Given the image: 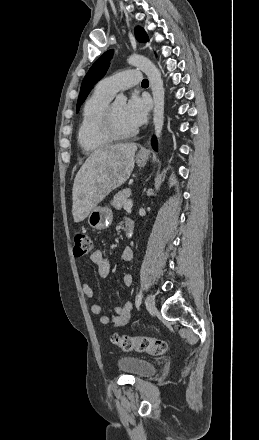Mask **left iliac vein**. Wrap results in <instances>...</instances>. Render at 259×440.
I'll return each mask as SVG.
<instances>
[{
	"label": "left iliac vein",
	"mask_w": 259,
	"mask_h": 440,
	"mask_svg": "<svg viewBox=\"0 0 259 440\" xmlns=\"http://www.w3.org/2000/svg\"><path fill=\"white\" fill-rule=\"evenodd\" d=\"M146 306L149 311H153L155 309V297L152 294H149L146 298Z\"/></svg>",
	"instance_id": "4c4485c4"
}]
</instances>
